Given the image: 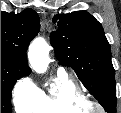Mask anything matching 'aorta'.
<instances>
[{
    "mask_svg": "<svg viewBox=\"0 0 121 113\" xmlns=\"http://www.w3.org/2000/svg\"><path fill=\"white\" fill-rule=\"evenodd\" d=\"M29 63L34 71L39 74L46 72L50 59H49V46L46 41L41 38H35L28 50Z\"/></svg>",
    "mask_w": 121,
    "mask_h": 113,
    "instance_id": "aorta-1",
    "label": "aorta"
}]
</instances>
